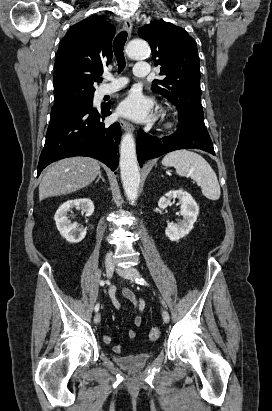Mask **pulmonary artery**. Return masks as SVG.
Wrapping results in <instances>:
<instances>
[{
    "mask_svg": "<svg viewBox=\"0 0 272 411\" xmlns=\"http://www.w3.org/2000/svg\"><path fill=\"white\" fill-rule=\"evenodd\" d=\"M134 74L137 77H148L149 75V66L147 63H138L135 67ZM107 78H111L110 75H107ZM125 79L114 81L111 84L104 85L99 89V95L104 96L107 94H111L120 88H122L126 84Z\"/></svg>",
    "mask_w": 272,
    "mask_h": 411,
    "instance_id": "obj_1",
    "label": "pulmonary artery"
}]
</instances>
